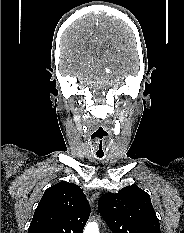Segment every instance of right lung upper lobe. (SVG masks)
Returning a JSON list of instances; mask_svg holds the SVG:
<instances>
[{
  "mask_svg": "<svg viewBox=\"0 0 184 233\" xmlns=\"http://www.w3.org/2000/svg\"><path fill=\"white\" fill-rule=\"evenodd\" d=\"M90 212L83 190L61 181L44 192L28 233H83Z\"/></svg>",
  "mask_w": 184,
  "mask_h": 233,
  "instance_id": "right-lung-upper-lobe-1",
  "label": "right lung upper lobe"
}]
</instances>
